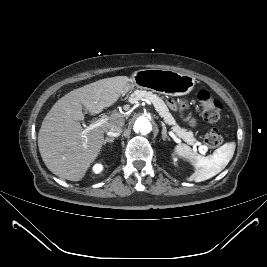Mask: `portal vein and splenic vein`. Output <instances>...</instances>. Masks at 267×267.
<instances>
[{
	"label": "portal vein and splenic vein",
	"instance_id": "portal-vein-and-splenic-vein-1",
	"mask_svg": "<svg viewBox=\"0 0 267 267\" xmlns=\"http://www.w3.org/2000/svg\"><path fill=\"white\" fill-rule=\"evenodd\" d=\"M143 101H145L148 105H151V102L148 99H143ZM160 115V113H159ZM108 121L107 117H102L96 121H94L92 124H90L89 126L86 127V129H84L82 137L86 138V134L89 130H92L94 128H97L101 125H103L104 123H106ZM172 136H174V133H172Z\"/></svg>",
	"mask_w": 267,
	"mask_h": 267
}]
</instances>
